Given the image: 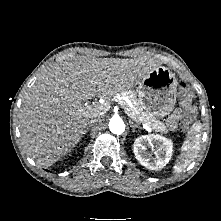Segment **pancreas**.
<instances>
[{
  "instance_id": "1",
  "label": "pancreas",
  "mask_w": 221,
  "mask_h": 221,
  "mask_svg": "<svg viewBox=\"0 0 221 221\" xmlns=\"http://www.w3.org/2000/svg\"><path fill=\"white\" fill-rule=\"evenodd\" d=\"M121 95L128 97L133 104L132 107H129L123 99H119V101L124 104L125 112L130 118H132L136 122L146 123L151 129L155 130L156 132L160 133L168 132L166 126L161 121L157 120L154 116L150 114H146L142 110L134 92L125 91L121 92Z\"/></svg>"
}]
</instances>
